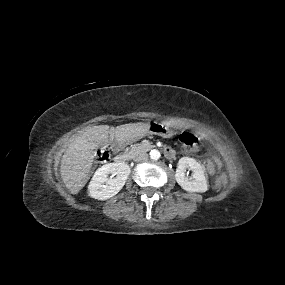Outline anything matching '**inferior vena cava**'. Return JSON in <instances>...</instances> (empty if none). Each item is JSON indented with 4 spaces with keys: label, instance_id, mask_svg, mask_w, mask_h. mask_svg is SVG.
Segmentation results:
<instances>
[{
    "label": "inferior vena cava",
    "instance_id": "602c4592",
    "mask_svg": "<svg viewBox=\"0 0 285 285\" xmlns=\"http://www.w3.org/2000/svg\"><path fill=\"white\" fill-rule=\"evenodd\" d=\"M147 159H148L147 153L142 152L135 156L134 161L141 162V161H146Z\"/></svg>",
    "mask_w": 285,
    "mask_h": 285
}]
</instances>
